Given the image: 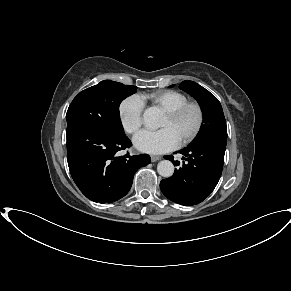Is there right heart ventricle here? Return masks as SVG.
Returning a JSON list of instances; mask_svg holds the SVG:
<instances>
[{
  "mask_svg": "<svg viewBox=\"0 0 291 291\" xmlns=\"http://www.w3.org/2000/svg\"><path fill=\"white\" fill-rule=\"evenodd\" d=\"M142 101H149L153 106L166 112L188 101L182 92L176 90H158L140 95Z\"/></svg>",
  "mask_w": 291,
  "mask_h": 291,
  "instance_id": "right-heart-ventricle-1",
  "label": "right heart ventricle"
}]
</instances>
